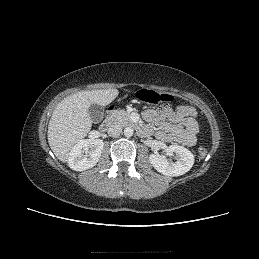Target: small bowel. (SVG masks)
<instances>
[{
  "mask_svg": "<svg viewBox=\"0 0 259 259\" xmlns=\"http://www.w3.org/2000/svg\"><path fill=\"white\" fill-rule=\"evenodd\" d=\"M143 118L156 128V137L164 142H178L185 146L196 144L200 126L196 110L179 106L175 111L168 108L148 109Z\"/></svg>",
  "mask_w": 259,
  "mask_h": 259,
  "instance_id": "small-bowel-1",
  "label": "small bowel"
}]
</instances>
